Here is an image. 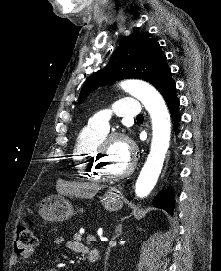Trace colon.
Here are the masks:
<instances>
[{
    "mask_svg": "<svg viewBox=\"0 0 221 271\" xmlns=\"http://www.w3.org/2000/svg\"><path fill=\"white\" fill-rule=\"evenodd\" d=\"M37 237L28 222H21L17 229L14 249L17 253L23 252L36 245Z\"/></svg>",
    "mask_w": 221,
    "mask_h": 271,
    "instance_id": "obj_1",
    "label": "colon"
}]
</instances>
